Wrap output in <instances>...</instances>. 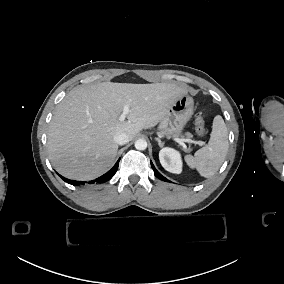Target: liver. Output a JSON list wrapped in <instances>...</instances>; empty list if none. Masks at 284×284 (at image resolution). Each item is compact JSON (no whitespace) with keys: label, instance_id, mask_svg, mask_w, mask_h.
I'll use <instances>...</instances> for the list:
<instances>
[{"label":"liver","instance_id":"liver-1","mask_svg":"<svg viewBox=\"0 0 284 284\" xmlns=\"http://www.w3.org/2000/svg\"><path fill=\"white\" fill-rule=\"evenodd\" d=\"M187 90L177 84L112 83L81 86L57 105L48 130V152L54 168L73 179H93L110 168L118 144L116 133L129 140L160 123ZM128 121L119 119L123 107Z\"/></svg>","mask_w":284,"mask_h":284}]
</instances>
